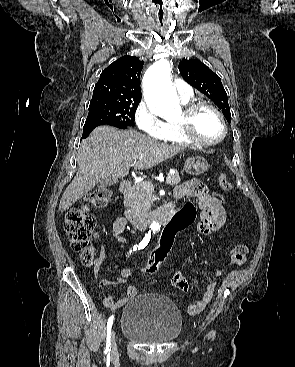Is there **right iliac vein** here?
<instances>
[{
  "instance_id": "right-iliac-vein-1",
  "label": "right iliac vein",
  "mask_w": 295,
  "mask_h": 367,
  "mask_svg": "<svg viewBox=\"0 0 295 367\" xmlns=\"http://www.w3.org/2000/svg\"><path fill=\"white\" fill-rule=\"evenodd\" d=\"M116 354H117L116 333L113 330L111 333V355L115 356Z\"/></svg>"
}]
</instances>
